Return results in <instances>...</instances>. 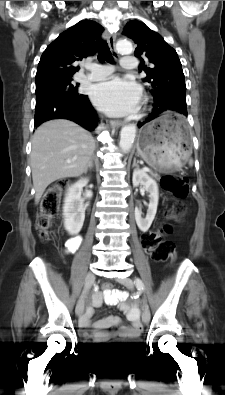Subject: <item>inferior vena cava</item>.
<instances>
[{
  "mask_svg": "<svg viewBox=\"0 0 225 395\" xmlns=\"http://www.w3.org/2000/svg\"><path fill=\"white\" fill-rule=\"evenodd\" d=\"M103 128H104L103 126H99V127H98L99 130H101V129H103Z\"/></svg>",
  "mask_w": 225,
  "mask_h": 395,
  "instance_id": "602c4592",
  "label": "inferior vena cava"
}]
</instances>
